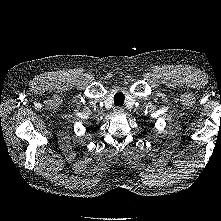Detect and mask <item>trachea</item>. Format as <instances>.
I'll return each mask as SVG.
<instances>
[{
    "instance_id": "1",
    "label": "trachea",
    "mask_w": 221,
    "mask_h": 221,
    "mask_svg": "<svg viewBox=\"0 0 221 221\" xmlns=\"http://www.w3.org/2000/svg\"><path fill=\"white\" fill-rule=\"evenodd\" d=\"M125 100V96L123 93H117L114 96V104L122 106Z\"/></svg>"
}]
</instances>
